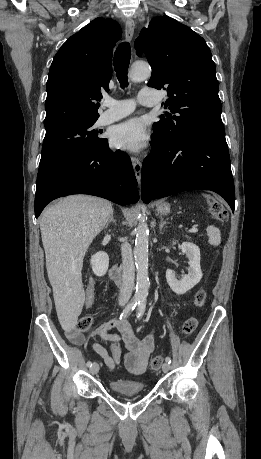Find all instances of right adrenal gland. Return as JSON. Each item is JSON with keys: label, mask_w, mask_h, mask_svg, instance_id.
Instances as JSON below:
<instances>
[{"label": "right adrenal gland", "mask_w": 261, "mask_h": 459, "mask_svg": "<svg viewBox=\"0 0 261 459\" xmlns=\"http://www.w3.org/2000/svg\"><path fill=\"white\" fill-rule=\"evenodd\" d=\"M111 222L114 223V224H116V220H115L114 217H113V213L111 214V216H110V218H109V220H108V222H107L105 228H107Z\"/></svg>", "instance_id": "1"}]
</instances>
